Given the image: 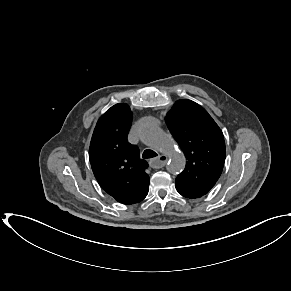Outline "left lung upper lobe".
<instances>
[{
	"instance_id": "5c2ea615",
	"label": "left lung upper lobe",
	"mask_w": 291,
	"mask_h": 291,
	"mask_svg": "<svg viewBox=\"0 0 291 291\" xmlns=\"http://www.w3.org/2000/svg\"><path fill=\"white\" fill-rule=\"evenodd\" d=\"M166 124L186 156V167L176 178V190L187 198L207 194L219 179L225 161L223 133L199 104L176 101Z\"/></svg>"
}]
</instances>
